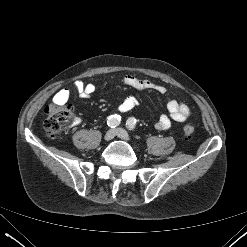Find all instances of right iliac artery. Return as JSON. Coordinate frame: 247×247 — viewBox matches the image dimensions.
<instances>
[{
	"label": "right iliac artery",
	"instance_id": "right-iliac-artery-1",
	"mask_svg": "<svg viewBox=\"0 0 247 247\" xmlns=\"http://www.w3.org/2000/svg\"><path fill=\"white\" fill-rule=\"evenodd\" d=\"M121 116L111 115L108 117L107 125L111 128H115L120 124Z\"/></svg>",
	"mask_w": 247,
	"mask_h": 247
}]
</instances>
